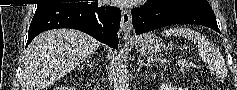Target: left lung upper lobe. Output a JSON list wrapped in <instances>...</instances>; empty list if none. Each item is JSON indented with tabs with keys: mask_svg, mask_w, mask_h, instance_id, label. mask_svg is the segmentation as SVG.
I'll return each instance as SVG.
<instances>
[{
	"mask_svg": "<svg viewBox=\"0 0 237 90\" xmlns=\"http://www.w3.org/2000/svg\"><path fill=\"white\" fill-rule=\"evenodd\" d=\"M166 2L182 3L192 7L211 9L209 3L206 0H166Z\"/></svg>",
	"mask_w": 237,
	"mask_h": 90,
	"instance_id": "1",
	"label": "left lung upper lobe"
}]
</instances>
